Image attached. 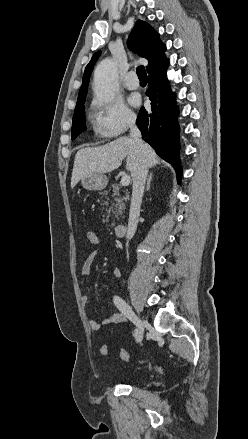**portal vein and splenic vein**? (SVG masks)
<instances>
[{
	"label": "portal vein and splenic vein",
	"mask_w": 248,
	"mask_h": 439,
	"mask_svg": "<svg viewBox=\"0 0 248 439\" xmlns=\"http://www.w3.org/2000/svg\"><path fill=\"white\" fill-rule=\"evenodd\" d=\"M130 176L129 175H124V176H122V178H121V185L122 186H128L129 185V183H130Z\"/></svg>",
	"instance_id": "1"
}]
</instances>
